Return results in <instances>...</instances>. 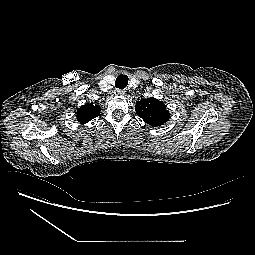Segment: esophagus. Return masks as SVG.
Segmentation results:
<instances>
[{"label":"esophagus","instance_id":"1","mask_svg":"<svg viewBox=\"0 0 255 255\" xmlns=\"http://www.w3.org/2000/svg\"><path fill=\"white\" fill-rule=\"evenodd\" d=\"M115 94H117V95H119V96H122V95H124V90L116 89V90H115Z\"/></svg>","mask_w":255,"mask_h":255}]
</instances>
